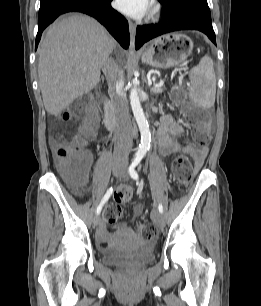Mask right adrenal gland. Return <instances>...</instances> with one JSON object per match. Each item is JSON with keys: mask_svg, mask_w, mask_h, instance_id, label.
I'll return each instance as SVG.
<instances>
[{"mask_svg": "<svg viewBox=\"0 0 261 306\" xmlns=\"http://www.w3.org/2000/svg\"><path fill=\"white\" fill-rule=\"evenodd\" d=\"M115 68V63L113 61V58L110 57V59L107 61V63H105L102 67V72L105 75L106 79H108L111 74L113 73ZM104 78V76H102V79Z\"/></svg>", "mask_w": 261, "mask_h": 306, "instance_id": "obj_1", "label": "right adrenal gland"}]
</instances>
